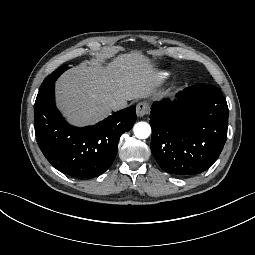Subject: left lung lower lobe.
I'll return each instance as SVG.
<instances>
[{"instance_id":"obj_1","label":"left lung lower lobe","mask_w":255,"mask_h":255,"mask_svg":"<svg viewBox=\"0 0 255 255\" xmlns=\"http://www.w3.org/2000/svg\"><path fill=\"white\" fill-rule=\"evenodd\" d=\"M151 107V151L173 175L191 176L210 168L227 138L228 106L221 90L198 84Z\"/></svg>"}]
</instances>
